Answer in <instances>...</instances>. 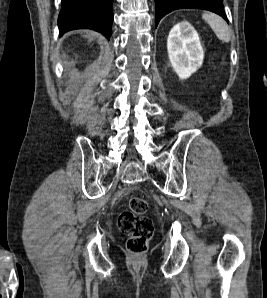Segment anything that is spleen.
I'll return each instance as SVG.
<instances>
[{
    "label": "spleen",
    "instance_id": "1",
    "mask_svg": "<svg viewBox=\"0 0 267 298\" xmlns=\"http://www.w3.org/2000/svg\"><path fill=\"white\" fill-rule=\"evenodd\" d=\"M202 18L210 25L218 39L228 43L231 40V33L227 23L218 15L213 13H204Z\"/></svg>",
    "mask_w": 267,
    "mask_h": 298
}]
</instances>
